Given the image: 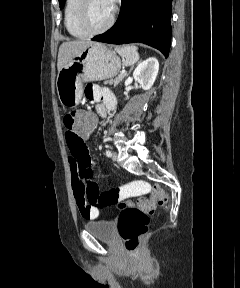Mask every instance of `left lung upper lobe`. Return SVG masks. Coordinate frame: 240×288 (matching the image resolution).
Listing matches in <instances>:
<instances>
[{"mask_svg":"<svg viewBox=\"0 0 240 288\" xmlns=\"http://www.w3.org/2000/svg\"><path fill=\"white\" fill-rule=\"evenodd\" d=\"M66 0H59V3H60V8L63 7L64 3H65Z\"/></svg>","mask_w":240,"mask_h":288,"instance_id":"1","label":"left lung upper lobe"}]
</instances>
